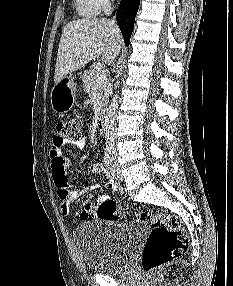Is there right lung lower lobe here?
Instances as JSON below:
<instances>
[{"label": "right lung lower lobe", "instance_id": "right-lung-lower-lobe-1", "mask_svg": "<svg viewBox=\"0 0 233 286\" xmlns=\"http://www.w3.org/2000/svg\"><path fill=\"white\" fill-rule=\"evenodd\" d=\"M139 3L140 0H121L117 10L116 19L126 46L129 45Z\"/></svg>", "mask_w": 233, "mask_h": 286}]
</instances>
